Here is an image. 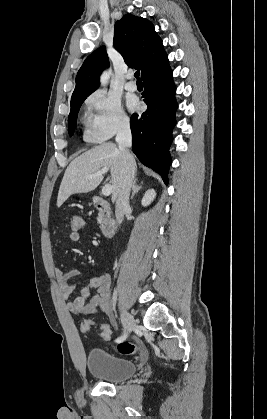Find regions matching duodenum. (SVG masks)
Masks as SVG:
<instances>
[{
  "mask_svg": "<svg viewBox=\"0 0 267 419\" xmlns=\"http://www.w3.org/2000/svg\"><path fill=\"white\" fill-rule=\"evenodd\" d=\"M92 202L102 216L101 231L103 235L106 237L111 236L117 227V222L111 205L99 196L93 197Z\"/></svg>",
  "mask_w": 267,
  "mask_h": 419,
  "instance_id": "obj_1",
  "label": "duodenum"
}]
</instances>
